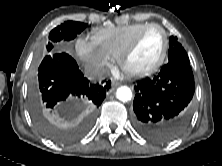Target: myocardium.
I'll return each instance as SVG.
<instances>
[{
  "label": "myocardium",
  "mask_w": 222,
  "mask_h": 166,
  "mask_svg": "<svg viewBox=\"0 0 222 166\" xmlns=\"http://www.w3.org/2000/svg\"><path fill=\"white\" fill-rule=\"evenodd\" d=\"M150 29H158L161 31L163 35V49L162 52L158 58V60L155 62L154 65L151 67L145 69V70H139V71H132L129 70L126 66V61L128 57L132 54V52L135 50L137 45L139 44L140 40L144 36V34L149 31ZM169 50V35L168 32L165 30V28L157 23H149L144 28H142L134 37L133 39L128 43V45L123 49V51L118 56V63L121 69L129 76L132 77H145L149 76L151 74H154L157 72L160 67L164 64L167 54Z\"/></svg>",
  "instance_id": "1"
}]
</instances>
